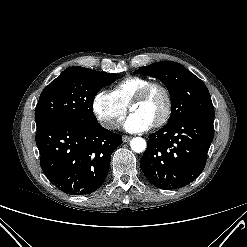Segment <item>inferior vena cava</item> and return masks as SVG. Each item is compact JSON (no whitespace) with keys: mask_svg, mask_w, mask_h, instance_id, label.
<instances>
[{"mask_svg":"<svg viewBox=\"0 0 247 247\" xmlns=\"http://www.w3.org/2000/svg\"><path fill=\"white\" fill-rule=\"evenodd\" d=\"M102 125L109 129H115L118 126L117 123L114 121H104L102 122Z\"/></svg>","mask_w":247,"mask_h":247,"instance_id":"inferior-vena-cava-1","label":"inferior vena cava"}]
</instances>
